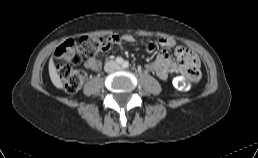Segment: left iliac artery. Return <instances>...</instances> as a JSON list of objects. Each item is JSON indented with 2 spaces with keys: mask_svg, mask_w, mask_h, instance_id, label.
<instances>
[{
  "mask_svg": "<svg viewBox=\"0 0 258 158\" xmlns=\"http://www.w3.org/2000/svg\"><path fill=\"white\" fill-rule=\"evenodd\" d=\"M122 66H123L124 68H128L129 63H128L127 61H125Z\"/></svg>",
  "mask_w": 258,
  "mask_h": 158,
  "instance_id": "left-iliac-artery-1",
  "label": "left iliac artery"
}]
</instances>
